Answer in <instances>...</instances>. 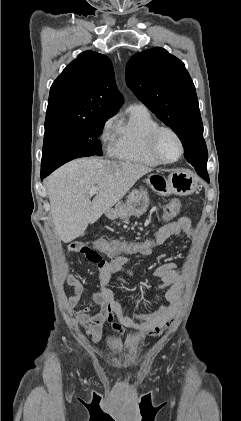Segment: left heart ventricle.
I'll return each mask as SVG.
<instances>
[{"label":"left heart ventricle","mask_w":241,"mask_h":421,"mask_svg":"<svg viewBox=\"0 0 241 421\" xmlns=\"http://www.w3.org/2000/svg\"><path fill=\"white\" fill-rule=\"evenodd\" d=\"M158 150L165 160H173L179 155L180 146L171 133L164 132L159 137Z\"/></svg>","instance_id":"left-heart-ventricle-1"}]
</instances>
